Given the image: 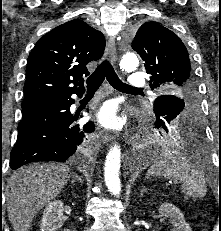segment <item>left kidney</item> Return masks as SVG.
<instances>
[{
    "mask_svg": "<svg viewBox=\"0 0 221 231\" xmlns=\"http://www.w3.org/2000/svg\"><path fill=\"white\" fill-rule=\"evenodd\" d=\"M162 216L169 218L172 231H192L179 208L171 203H163L158 209Z\"/></svg>",
    "mask_w": 221,
    "mask_h": 231,
    "instance_id": "5707ae66",
    "label": "left kidney"
}]
</instances>
